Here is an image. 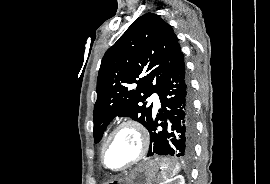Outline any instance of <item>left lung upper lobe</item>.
Returning <instances> with one entry per match:
<instances>
[{
    "label": "left lung upper lobe",
    "mask_w": 270,
    "mask_h": 184,
    "mask_svg": "<svg viewBox=\"0 0 270 184\" xmlns=\"http://www.w3.org/2000/svg\"><path fill=\"white\" fill-rule=\"evenodd\" d=\"M180 53L172 27L158 15L146 13L129 26L106 51L99 69L93 115L96 143L116 116L131 117L148 128L152 105L146 107L144 101L158 92Z\"/></svg>",
    "instance_id": "1"
}]
</instances>
